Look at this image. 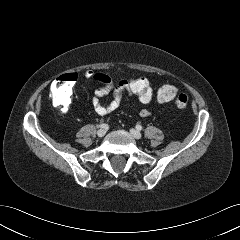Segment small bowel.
<instances>
[{
    "label": "small bowel",
    "instance_id": "1",
    "mask_svg": "<svg viewBox=\"0 0 240 240\" xmlns=\"http://www.w3.org/2000/svg\"><path fill=\"white\" fill-rule=\"evenodd\" d=\"M85 76L91 78L93 77V72L91 70H87L85 71ZM111 91H113L112 100L109 103L104 104L101 99ZM125 96H131L127 91L125 80H121L116 85L111 80L107 83H104L103 86L94 91V95L92 97L93 109L98 115L107 116L120 107ZM139 115L141 117H149L151 112L147 109H142L139 111Z\"/></svg>",
    "mask_w": 240,
    "mask_h": 240
}]
</instances>
